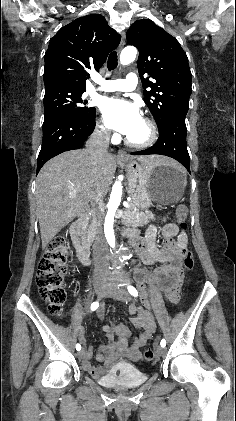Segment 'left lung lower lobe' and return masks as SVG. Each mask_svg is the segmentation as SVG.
I'll return each instance as SVG.
<instances>
[{
    "label": "left lung lower lobe",
    "mask_w": 236,
    "mask_h": 421,
    "mask_svg": "<svg viewBox=\"0 0 236 421\" xmlns=\"http://www.w3.org/2000/svg\"><path fill=\"white\" fill-rule=\"evenodd\" d=\"M186 113L174 112L158 126L159 138L150 148L132 152V155L159 154L179 161L190 173V158L186 145Z\"/></svg>",
    "instance_id": "obj_1"
}]
</instances>
